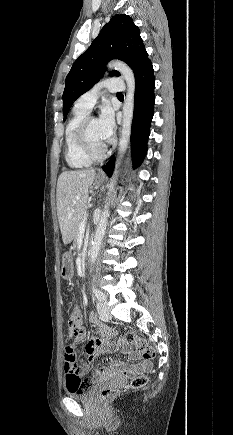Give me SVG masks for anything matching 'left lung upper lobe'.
I'll return each instance as SVG.
<instances>
[{
  "mask_svg": "<svg viewBox=\"0 0 233 435\" xmlns=\"http://www.w3.org/2000/svg\"><path fill=\"white\" fill-rule=\"evenodd\" d=\"M126 62L137 76L151 64L140 30L125 14L115 15L105 24L91 46L74 62L65 80L63 92L64 121L73 102L97 83L111 59ZM119 76L112 71L110 76Z\"/></svg>",
  "mask_w": 233,
  "mask_h": 435,
  "instance_id": "1",
  "label": "left lung upper lobe"
}]
</instances>
